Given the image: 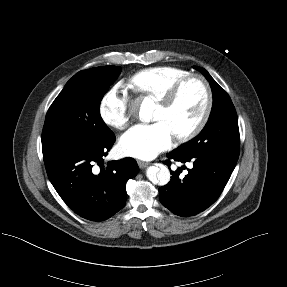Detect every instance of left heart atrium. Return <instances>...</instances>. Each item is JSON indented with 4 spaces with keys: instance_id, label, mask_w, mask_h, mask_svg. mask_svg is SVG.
Wrapping results in <instances>:
<instances>
[{
    "instance_id": "left-heart-atrium-1",
    "label": "left heart atrium",
    "mask_w": 287,
    "mask_h": 287,
    "mask_svg": "<svg viewBox=\"0 0 287 287\" xmlns=\"http://www.w3.org/2000/svg\"><path fill=\"white\" fill-rule=\"evenodd\" d=\"M173 134L168 126L157 121L151 124H138L127 131L120 139L123 154L149 160L171 146Z\"/></svg>"
}]
</instances>
